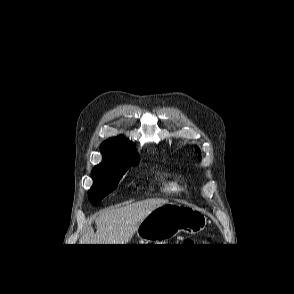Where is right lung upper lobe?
Here are the masks:
<instances>
[{
	"label": "right lung upper lobe",
	"mask_w": 294,
	"mask_h": 294,
	"mask_svg": "<svg viewBox=\"0 0 294 294\" xmlns=\"http://www.w3.org/2000/svg\"><path fill=\"white\" fill-rule=\"evenodd\" d=\"M103 160H135L139 159L135 146L123 136L106 140L101 145Z\"/></svg>",
	"instance_id": "1"
}]
</instances>
